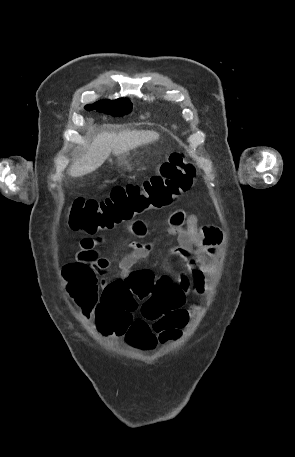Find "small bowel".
<instances>
[{
    "instance_id": "c3829d8e",
    "label": "small bowel",
    "mask_w": 295,
    "mask_h": 457,
    "mask_svg": "<svg viewBox=\"0 0 295 457\" xmlns=\"http://www.w3.org/2000/svg\"><path fill=\"white\" fill-rule=\"evenodd\" d=\"M125 230L129 235L139 239L145 237L147 233L145 222L139 219L128 223ZM167 232L175 236L178 242L171 249V254L186 262V272L178 275L175 284L177 288L175 298L183 306L190 292L198 295L204 293L206 277L213 274L216 269L223 239L222 231L210 225L199 227L196 214L186 215L183 210L177 209L170 215ZM101 242L100 236L82 238L79 244L80 249L76 254L77 261L90 263L100 270L108 268V259L100 256L96 251V247ZM129 248L130 252L124 256L119 264L122 280L134 272L133 267L138 262L148 257L152 244L134 240L129 243ZM107 283V281H103V286ZM191 313V311L188 313V318Z\"/></svg>"
}]
</instances>
